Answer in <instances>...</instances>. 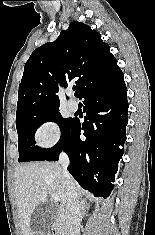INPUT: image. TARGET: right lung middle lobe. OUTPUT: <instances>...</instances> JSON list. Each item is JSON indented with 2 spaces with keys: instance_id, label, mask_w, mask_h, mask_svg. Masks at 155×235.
Listing matches in <instances>:
<instances>
[{
  "instance_id": "right-lung-middle-lobe-1",
  "label": "right lung middle lobe",
  "mask_w": 155,
  "mask_h": 235,
  "mask_svg": "<svg viewBox=\"0 0 155 235\" xmlns=\"http://www.w3.org/2000/svg\"><path fill=\"white\" fill-rule=\"evenodd\" d=\"M56 122L61 130L59 142L50 149L35 146L34 135L36 130L45 122ZM74 119L63 118L59 108L30 111L16 117V128L18 132V162L41 161L54 154L64 143L67 133L72 127Z\"/></svg>"
}]
</instances>
